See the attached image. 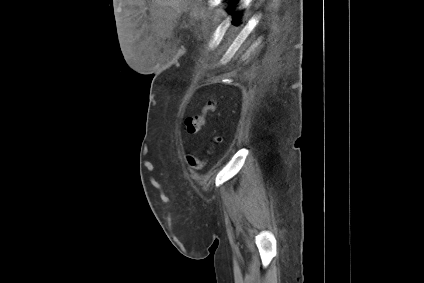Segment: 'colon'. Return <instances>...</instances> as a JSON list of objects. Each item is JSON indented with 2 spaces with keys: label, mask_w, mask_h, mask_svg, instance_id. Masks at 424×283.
Listing matches in <instances>:
<instances>
[{
  "label": "colon",
  "mask_w": 424,
  "mask_h": 283,
  "mask_svg": "<svg viewBox=\"0 0 424 283\" xmlns=\"http://www.w3.org/2000/svg\"><path fill=\"white\" fill-rule=\"evenodd\" d=\"M216 109V103L214 101H210L207 103V105L204 107L201 114L196 116H191L185 119V130L188 134H196L198 133L204 123H205V117L208 113L215 111ZM216 141L219 142L220 138L217 137ZM187 162L190 168L193 170H201L204 166L206 161L197 159L191 155L187 157Z\"/></svg>",
  "instance_id": "1"
}]
</instances>
